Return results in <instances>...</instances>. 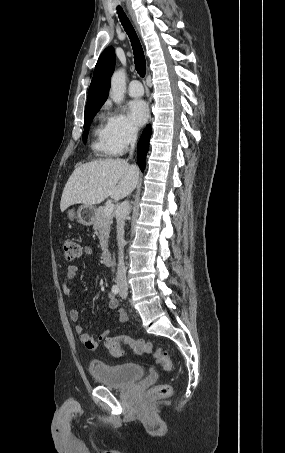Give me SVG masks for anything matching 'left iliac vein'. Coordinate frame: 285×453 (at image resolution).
<instances>
[{"label": "left iliac vein", "instance_id": "obj_1", "mask_svg": "<svg viewBox=\"0 0 285 453\" xmlns=\"http://www.w3.org/2000/svg\"><path fill=\"white\" fill-rule=\"evenodd\" d=\"M127 295H128L127 286L124 285L120 289V296H121V298L125 299L127 297Z\"/></svg>", "mask_w": 285, "mask_h": 453}]
</instances>
